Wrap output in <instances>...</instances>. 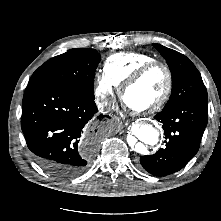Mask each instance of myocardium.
Here are the masks:
<instances>
[{"label": "myocardium", "mask_w": 221, "mask_h": 221, "mask_svg": "<svg viewBox=\"0 0 221 221\" xmlns=\"http://www.w3.org/2000/svg\"><path fill=\"white\" fill-rule=\"evenodd\" d=\"M155 68H162L166 74L167 83L166 88L162 94V96L155 101L152 105L143 108V109H137L129 106L126 102L125 95L127 90L134 84H136L138 81H140L148 72ZM173 90V75L172 71L169 68L167 64H165L162 61L153 60L150 62H147L140 66L121 86L120 88V97L124 104V106L129 109L133 114L135 115H149L152 113H155L159 110H161L164 105L169 100L171 93Z\"/></svg>", "instance_id": "f54148a6"}]
</instances>
